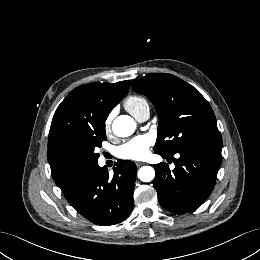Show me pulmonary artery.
Returning <instances> with one entry per match:
<instances>
[{
    "label": "pulmonary artery",
    "instance_id": "pulmonary-artery-1",
    "mask_svg": "<svg viewBox=\"0 0 260 260\" xmlns=\"http://www.w3.org/2000/svg\"><path fill=\"white\" fill-rule=\"evenodd\" d=\"M150 115V108L149 106L143 107L135 116L139 121H145L148 119Z\"/></svg>",
    "mask_w": 260,
    "mask_h": 260
}]
</instances>
